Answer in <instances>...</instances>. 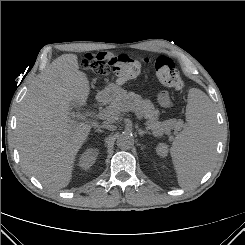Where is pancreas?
Here are the masks:
<instances>
[{
  "instance_id": "obj_1",
  "label": "pancreas",
  "mask_w": 245,
  "mask_h": 245,
  "mask_svg": "<svg viewBox=\"0 0 245 245\" xmlns=\"http://www.w3.org/2000/svg\"><path fill=\"white\" fill-rule=\"evenodd\" d=\"M130 108H136L141 115L147 120L146 124L152 130L155 136L168 134L171 129L180 130L182 122L176 119L158 121L159 111L149 99H143L140 95L134 92H123L120 94L103 112L108 122H115L119 116L128 111Z\"/></svg>"
}]
</instances>
